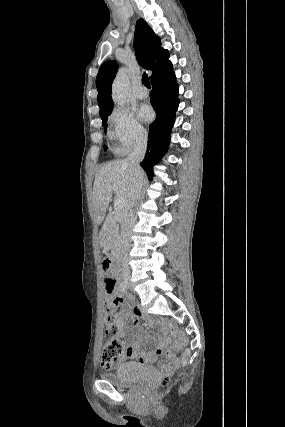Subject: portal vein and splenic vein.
Segmentation results:
<instances>
[{"mask_svg": "<svg viewBox=\"0 0 285 427\" xmlns=\"http://www.w3.org/2000/svg\"><path fill=\"white\" fill-rule=\"evenodd\" d=\"M113 190H117V186L116 185L113 186ZM123 205H124V201L121 198L115 199V201H114V210L116 212H119L123 208Z\"/></svg>", "mask_w": 285, "mask_h": 427, "instance_id": "1", "label": "portal vein and splenic vein"}]
</instances>
